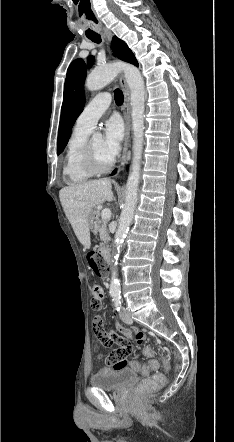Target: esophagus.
Instances as JSON below:
<instances>
[{
    "label": "esophagus",
    "mask_w": 234,
    "mask_h": 442,
    "mask_svg": "<svg viewBox=\"0 0 234 442\" xmlns=\"http://www.w3.org/2000/svg\"><path fill=\"white\" fill-rule=\"evenodd\" d=\"M105 34L107 36L108 41L110 42L112 39V33L110 31L106 30ZM119 82H120V85H121V88H122L123 94H124V103L122 106V111H123V117H124V121H125V138H124L123 154L121 157V167H123L126 164L128 158L130 156V154L128 152V147H129V143H130V129H131L130 90L127 85L125 76L123 74H120Z\"/></svg>",
    "instance_id": "34e87169"
}]
</instances>
